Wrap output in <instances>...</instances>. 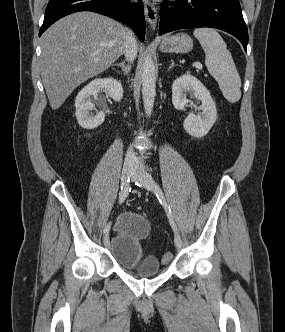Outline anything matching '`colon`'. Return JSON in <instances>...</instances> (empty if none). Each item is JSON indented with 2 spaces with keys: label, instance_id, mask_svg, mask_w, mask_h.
<instances>
[{
  "label": "colon",
  "instance_id": "obj_1",
  "mask_svg": "<svg viewBox=\"0 0 285 332\" xmlns=\"http://www.w3.org/2000/svg\"><path fill=\"white\" fill-rule=\"evenodd\" d=\"M171 259H172V254H171L170 252L165 253V254L163 255V258H162L163 262H165V263L170 262Z\"/></svg>",
  "mask_w": 285,
  "mask_h": 332
}]
</instances>
